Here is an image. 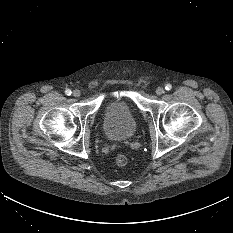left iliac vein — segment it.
<instances>
[{
	"mask_svg": "<svg viewBox=\"0 0 233 233\" xmlns=\"http://www.w3.org/2000/svg\"><path fill=\"white\" fill-rule=\"evenodd\" d=\"M165 92V89L163 87H158L156 89V94L157 95H162Z\"/></svg>",
	"mask_w": 233,
	"mask_h": 233,
	"instance_id": "4c4485c4",
	"label": "left iliac vein"
}]
</instances>
